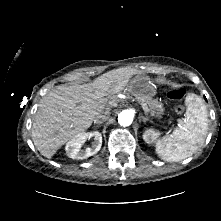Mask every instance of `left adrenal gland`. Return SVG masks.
Wrapping results in <instances>:
<instances>
[{
  "label": "left adrenal gland",
  "instance_id": "a2214340",
  "mask_svg": "<svg viewBox=\"0 0 221 221\" xmlns=\"http://www.w3.org/2000/svg\"><path fill=\"white\" fill-rule=\"evenodd\" d=\"M142 121L145 123L146 121H149V117L141 116ZM151 121V120H150Z\"/></svg>",
  "mask_w": 221,
  "mask_h": 221
}]
</instances>
